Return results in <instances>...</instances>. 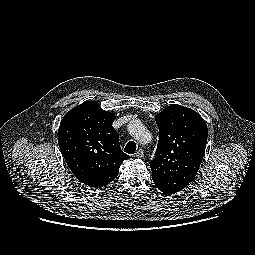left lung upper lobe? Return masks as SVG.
Here are the masks:
<instances>
[{"instance_id": "obj_1", "label": "left lung upper lobe", "mask_w": 255, "mask_h": 255, "mask_svg": "<svg viewBox=\"0 0 255 255\" xmlns=\"http://www.w3.org/2000/svg\"><path fill=\"white\" fill-rule=\"evenodd\" d=\"M159 141L150 162L153 182L173 193L195 178L207 143V125L194 110L170 105L155 117Z\"/></svg>"}]
</instances>
